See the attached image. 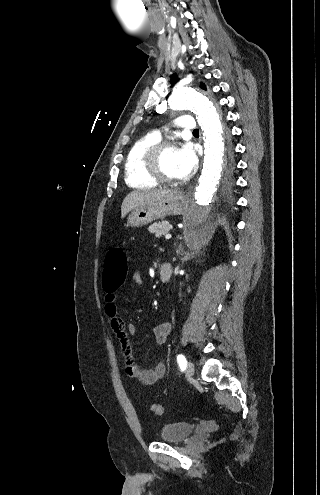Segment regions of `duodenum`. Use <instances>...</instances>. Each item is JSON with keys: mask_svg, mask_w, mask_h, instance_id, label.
I'll return each instance as SVG.
<instances>
[{"mask_svg": "<svg viewBox=\"0 0 320 495\" xmlns=\"http://www.w3.org/2000/svg\"><path fill=\"white\" fill-rule=\"evenodd\" d=\"M173 275V267L170 263L164 262L160 266V280L162 283H168Z\"/></svg>", "mask_w": 320, "mask_h": 495, "instance_id": "1", "label": "duodenum"}]
</instances>
